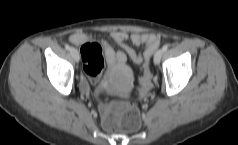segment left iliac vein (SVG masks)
<instances>
[{
	"mask_svg": "<svg viewBox=\"0 0 238 145\" xmlns=\"http://www.w3.org/2000/svg\"><path fill=\"white\" fill-rule=\"evenodd\" d=\"M162 55H163L162 49H159L155 52L153 59L155 65H158L160 63Z\"/></svg>",
	"mask_w": 238,
	"mask_h": 145,
	"instance_id": "obj_1",
	"label": "left iliac vein"
}]
</instances>
